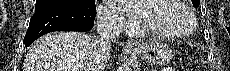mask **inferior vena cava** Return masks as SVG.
I'll use <instances>...</instances> for the list:
<instances>
[{"label": "inferior vena cava", "mask_w": 230, "mask_h": 71, "mask_svg": "<svg viewBox=\"0 0 230 71\" xmlns=\"http://www.w3.org/2000/svg\"><path fill=\"white\" fill-rule=\"evenodd\" d=\"M120 20L105 12H98L96 17V31L98 36L91 42V59L86 71H104L107 55L111 47V40L122 32Z\"/></svg>", "instance_id": "obj_1"}]
</instances>
